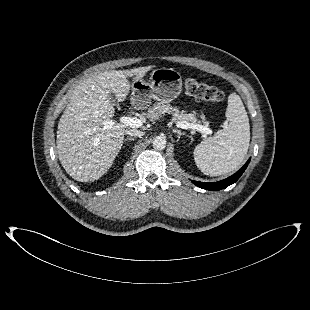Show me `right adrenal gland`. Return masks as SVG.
I'll return each mask as SVG.
<instances>
[{
	"label": "right adrenal gland",
	"mask_w": 310,
	"mask_h": 310,
	"mask_svg": "<svg viewBox=\"0 0 310 310\" xmlns=\"http://www.w3.org/2000/svg\"><path fill=\"white\" fill-rule=\"evenodd\" d=\"M128 140H134V138L129 137V138H126L124 141H128Z\"/></svg>",
	"instance_id": "obj_1"
}]
</instances>
